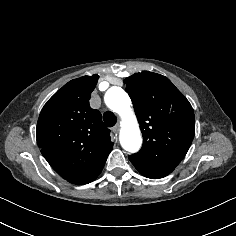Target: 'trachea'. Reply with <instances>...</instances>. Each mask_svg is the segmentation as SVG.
<instances>
[{
  "label": "trachea",
  "instance_id": "3493384b",
  "mask_svg": "<svg viewBox=\"0 0 236 236\" xmlns=\"http://www.w3.org/2000/svg\"><path fill=\"white\" fill-rule=\"evenodd\" d=\"M103 119H104V123L108 127L114 126L117 122L116 116L111 111L105 112L103 115Z\"/></svg>",
  "mask_w": 236,
  "mask_h": 236
}]
</instances>
